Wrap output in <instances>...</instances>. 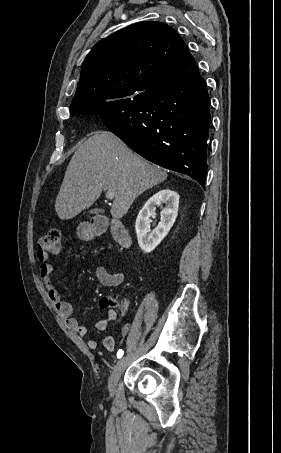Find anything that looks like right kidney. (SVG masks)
<instances>
[{"mask_svg":"<svg viewBox=\"0 0 281 453\" xmlns=\"http://www.w3.org/2000/svg\"><path fill=\"white\" fill-rule=\"evenodd\" d=\"M179 198L180 196L175 190L163 188V190H159V192H155L153 196H150L143 208H141L136 218L135 229L139 247H141L144 253H151V251H154L159 243L163 241L164 237L168 235L177 216ZM157 204H165V208L161 210V218L158 227L151 231L150 222H152V220L150 216L156 214L155 208Z\"/></svg>","mask_w":281,"mask_h":453,"instance_id":"obj_1","label":"right kidney"}]
</instances>
